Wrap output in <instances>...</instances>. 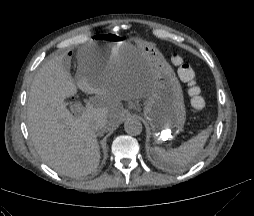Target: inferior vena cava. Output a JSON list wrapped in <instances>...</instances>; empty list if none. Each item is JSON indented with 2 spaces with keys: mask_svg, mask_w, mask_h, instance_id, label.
Instances as JSON below:
<instances>
[{
  "mask_svg": "<svg viewBox=\"0 0 254 216\" xmlns=\"http://www.w3.org/2000/svg\"><path fill=\"white\" fill-rule=\"evenodd\" d=\"M93 129L98 132H104L106 131V121L103 119L97 120L94 124H93Z\"/></svg>",
  "mask_w": 254,
  "mask_h": 216,
  "instance_id": "1",
  "label": "inferior vena cava"
}]
</instances>
